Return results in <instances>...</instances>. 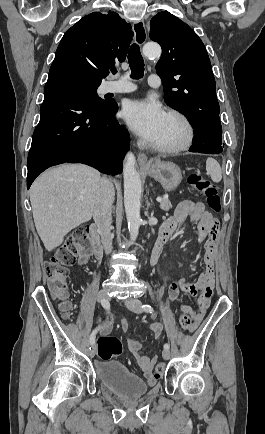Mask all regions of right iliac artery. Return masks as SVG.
<instances>
[{
	"label": "right iliac artery",
	"instance_id": "obj_1",
	"mask_svg": "<svg viewBox=\"0 0 265 434\" xmlns=\"http://www.w3.org/2000/svg\"><path fill=\"white\" fill-rule=\"evenodd\" d=\"M101 304L106 310H109V308H110L109 302L104 300V301H101ZM97 330H98V328L93 330V332L90 335V344L91 345H93L95 343V337H96Z\"/></svg>",
	"mask_w": 265,
	"mask_h": 434
}]
</instances>
